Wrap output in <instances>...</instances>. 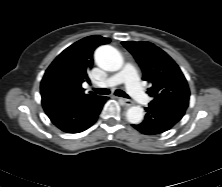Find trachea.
I'll list each match as a JSON object with an SVG mask.
<instances>
[{
    "label": "trachea",
    "instance_id": "1",
    "mask_svg": "<svg viewBox=\"0 0 222 187\" xmlns=\"http://www.w3.org/2000/svg\"><path fill=\"white\" fill-rule=\"evenodd\" d=\"M94 91L100 95H107L110 93V90L105 89V88H97V89H94ZM115 95L120 96V97H124V98H129V96L124 91H122L120 89H117L115 91Z\"/></svg>",
    "mask_w": 222,
    "mask_h": 187
}]
</instances>
